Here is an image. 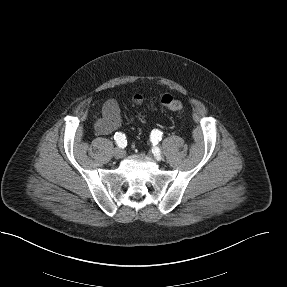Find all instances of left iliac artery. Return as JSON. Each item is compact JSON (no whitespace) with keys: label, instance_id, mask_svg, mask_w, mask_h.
Returning a JSON list of instances; mask_svg holds the SVG:
<instances>
[{"label":"left iliac artery","instance_id":"left-iliac-artery-1","mask_svg":"<svg viewBox=\"0 0 287 287\" xmlns=\"http://www.w3.org/2000/svg\"><path fill=\"white\" fill-rule=\"evenodd\" d=\"M150 138L153 144H157L162 138V132L157 129H154L151 132Z\"/></svg>","mask_w":287,"mask_h":287}]
</instances>
